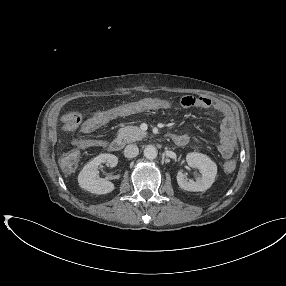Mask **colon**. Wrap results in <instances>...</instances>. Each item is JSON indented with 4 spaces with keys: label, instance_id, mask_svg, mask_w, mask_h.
<instances>
[{
    "label": "colon",
    "instance_id": "obj_1",
    "mask_svg": "<svg viewBox=\"0 0 286 286\" xmlns=\"http://www.w3.org/2000/svg\"><path fill=\"white\" fill-rule=\"evenodd\" d=\"M105 114L110 115L111 112L105 111ZM71 116L76 121L80 119V115L76 112H72ZM78 159H79L78 153L76 151H71L62 158V164L66 169H72L77 165ZM225 168L227 171H232L235 168V163L233 161H229L226 163Z\"/></svg>",
    "mask_w": 286,
    "mask_h": 286
}]
</instances>
